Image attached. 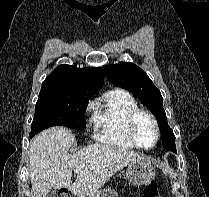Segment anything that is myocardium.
Wrapping results in <instances>:
<instances>
[{
	"label": "myocardium",
	"mask_w": 209,
	"mask_h": 197,
	"mask_svg": "<svg viewBox=\"0 0 209 197\" xmlns=\"http://www.w3.org/2000/svg\"><path fill=\"white\" fill-rule=\"evenodd\" d=\"M147 116L152 124H153V127H154V130H155V140H154V143L149 146V147H144L142 146L138 139H137V136H136V124H137V120L140 116ZM128 135H129V138L130 140L132 141V143L139 149H144V150H150L152 148H154L158 141H159V137H160V130H159V126H158V122L155 118V116L148 110H145V109H136L134 110L129 118H128Z\"/></svg>",
	"instance_id": "f54148a6"
}]
</instances>
